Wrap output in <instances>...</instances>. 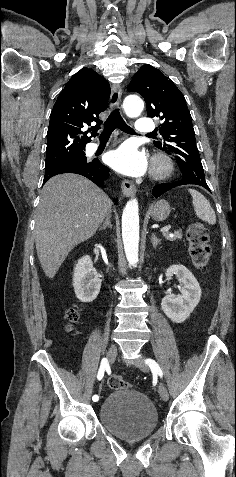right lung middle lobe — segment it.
Masks as SVG:
<instances>
[{"label":"right lung middle lobe","instance_id":"1","mask_svg":"<svg viewBox=\"0 0 236 477\" xmlns=\"http://www.w3.org/2000/svg\"><path fill=\"white\" fill-rule=\"evenodd\" d=\"M91 161H87L85 153L79 152L73 156H70L66 159H63L61 161H58L53 164H46L45 165V170H49L51 168H57V167H66V166H72V165H84L87 164Z\"/></svg>","mask_w":236,"mask_h":477}]
</instances>
